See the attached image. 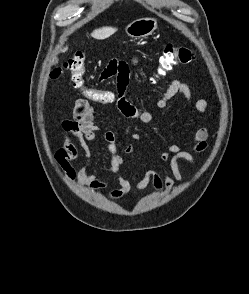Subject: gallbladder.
Returning a JSON list of instances; mask_svg holds the SVG:
<instances>
[{
    "label": "gallbladder",
    "instance_id": "1",
    "mask_svg": "<svg viewBox=\"0 0 249 294\" xmlns=\"http://www.w3.org/2000/svg\"><path fill=\"white\" fill-rule=\"evenodd\" d=\"M58 63V60L55 61V64Z\"/></svg>",
    "mask_w": 249,
    "mask_h": 294
}]
</instances>
